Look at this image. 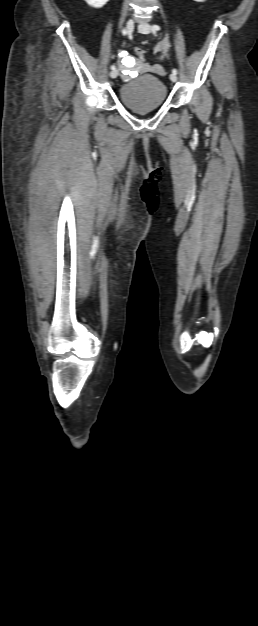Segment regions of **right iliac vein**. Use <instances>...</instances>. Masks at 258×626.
<instances>
[{
  "instance_id": "63e3f726",
  "label": "right iliac vein",
  "mask_w": 258,
  "mask_h": 626,
  "mask_svg": "<svg viewBox=\"0 0 258 626\" xmlns=\"http://www.w3.org/2000/svg\"><path fill=\"white\" fill-rule=\"evenodd\" d=\"M133 29H134V21H133V20H128V21H127V23H126V30H127V33H128V34L132 33ZM117 76H118V70H117V69H114V70H112V71L110 72V77H111V78H113V79H114V78H116Z\"/></svg>"
}]
</instances>
